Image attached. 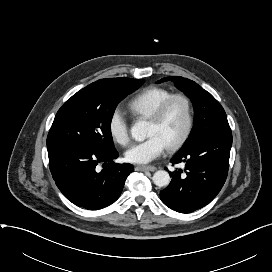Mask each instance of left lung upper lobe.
<instances>
[{"instance_id": "obj_1", "label": "left lung upper lobe", "mask_w": 272, "mask_h": 272, "mask_svg": "<svg viewBox=\"0 0 272 272\" xmlns=\"http://www.w3.org/2000/svg\"><path fill=\"white\" fill-rule=\"evenodd\" d=\"M168 80L190 98L195 110L194 126L180 150L188 149L211 137L231 135L223 107L209 92L194 81L179 76L166 77L158 82Z\"/></svg>"}]
</instances>
